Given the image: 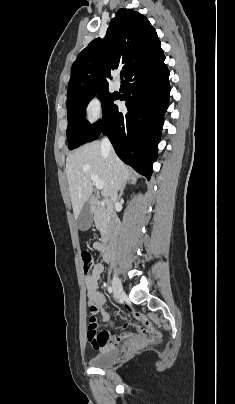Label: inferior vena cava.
<instances>
[{
  "label": "inferior vena cava",
  "instance_id": "602c4592",
  "mask_svg": "<svg viewBox=\"0 0 235 404\" xmlns=\"http://www.w3.org/2000/svg\"><path fill=\"white\" fill-rule=\"evenodd\" d=\"M101 148H102V150L107 151V152H111V151H112V145H111V143H110V141H109V139H108L107 137L103 138V140H102V142H101ZM111 198H112V201H113V202H116V200H117V193L115 192V193L112 195Z\"/></svg>",
  "mask_w": 235,
  "mask_h": 404
}]
</instances>
